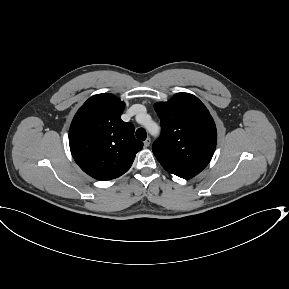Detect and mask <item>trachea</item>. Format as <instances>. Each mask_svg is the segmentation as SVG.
<instances>
[{
  "instance_id": "obj_1",
  "label": "trachea",
  "mask_w": 289,
  "mask_h": 289,
  "mask_svg": "<svg viewBox=\"0 0 289 289\" xmlns=\"http://www.w3.org/2000/svg\"><path fill=\"white\" fill-rule=\"evenodd\" d=\"M136 137L139 139V140H146V137H147V133L145 131L144 128H138L136 130Z\"/></svg>"
}]
</instances>
